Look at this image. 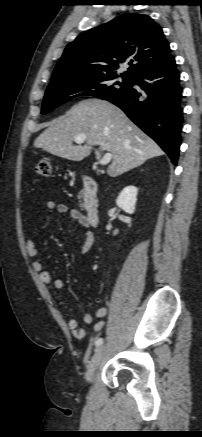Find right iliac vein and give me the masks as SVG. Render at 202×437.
<instances>
[{"label": "right iliac vein", "instance_id": "obj_1", "mask_svg": "<svg viewBox=\"0 0 202 437\" xmlns=\"http://www.w3.org/2000/svg\"><path fill=\"white\" fill-rule=\"evenodd\" d=\"M104 350H105L104 346H100L96 349V351H95V353L90 361V364H89V367H88V370L86 373L87 381H91L96 369L100 365L102 358H103V355H104Z\"/></svg>", "mask_w": 202, "mask_h": 437}]
</instances>
